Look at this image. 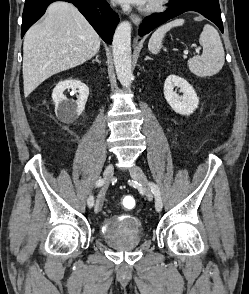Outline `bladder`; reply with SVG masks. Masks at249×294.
I'll use <instances>...</instances> for the list:
<instances>
[{
	"instance_id": "bladder-1",
	"label": "bladder",
	"mask_w": 249,
	"mask_h": 294,
	"mask_svg": "<svg viewBox=\"0 0 249 294\" xmlns=\"http://www.w3.org/2000/svg\"><path fill=\"white\" fill-rule=\"evenodd\" d=\"M102 236L105 240L126 236H134L141 240L144 236L143 222L134 215L112 216L105 221Z\"/></svg>"
}]
</instances>
